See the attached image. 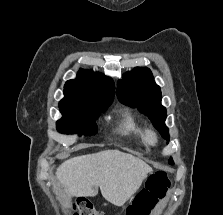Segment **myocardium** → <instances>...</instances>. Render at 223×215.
<instances>
[{"instance_id":"obj_1","label":"myocardium","mask_w":223,"mask_h":215,"mask_svg":"<svg viewBox=\"0 0 223 215\" xmlns=\"http://www.w3.org/2000/svg\"><path fill=\"white\" fill-rule=\"evenodd\" d=\"M146 142L150 146H156L158 143V136H157L156 132H154L152 130L148 131L146 134Z\"/></svg>"}]
</instances>
